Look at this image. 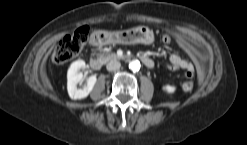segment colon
Listing matches in <instances>:
<instances>
[{
	"instance_id": "obj_1",
	"label": "colon",
	"mask_w": 247,
	"mask_h": 145,
	"mask_svg": "<svg viewBox=\"0 0 247 145\" xmlns=\"http://www.w3.org/2000/svg\"><path fill=\"white\" fill-rule=\"evenodd\" d=\"M88 34L89 29L87 27H81L73 33L63 37L54 49L52 55L53 63L56 65H61L77 57L86 43ZM162 41L164 43H169L171 41V35L168 32H164L162 35ZM193 88V75L189 74L187 75V79L182 84V89L189 92Z\"/></svg>"
}]
</instances>
